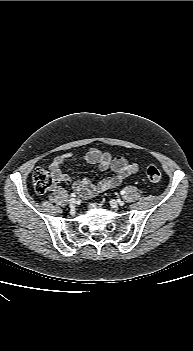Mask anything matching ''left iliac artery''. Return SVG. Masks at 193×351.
<instances>
[{
    "label": "left iliac artery",
    "mask_w": 193,
    "mask_h": 351,
    "mask_svg": "<svg viewBox=\"0 0 193 351\" xmlns=\"http://www.w3.org/2000/svg\"><path fill=\"white\" fill-rule=\"evenodd\" d=\"M120 194H121V195H124V194H125V191H124V190H122V191L120 192Z\"/></svg>",
    "instance_id": "obj_1"
}]
</instances>
